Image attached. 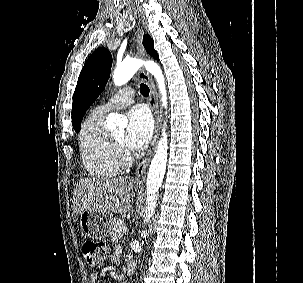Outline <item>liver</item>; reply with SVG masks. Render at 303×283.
<instances>
[{"mask_svg":"<svg viewBox=\"0 0 303 283\" xmlns=\"http://www.w3.org/2000/svg\"><path fill=\"white\" fill-rule=\"evenodd\" d=\"M134 180L131 177L83 179L74 189L75 221L81 212L127 213L133 202Z\"/></svg>","mask_w":303,"mask_h":283,"instance_id":"liver-1","label":"liver"}]
</instances>
